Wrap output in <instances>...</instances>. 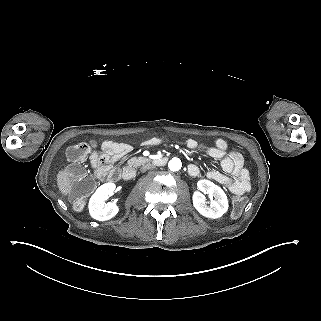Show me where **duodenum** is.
<instances>
[{"instance_id":"duodenum-1","label":"duodenum","mask_w":321,"mask_h":321,"mask_svg":"<svg viewBox=\"0 0 321 321\" xmlns=\"http://www.w3.org/2000/svg\"><path fill=\"white\" fill-rule=\"evenodd\" d=\"M166 162H167L166 157L157 158L153 161V163L156 166H163L166 164ZM135 175H136L135 170L132 167H127V168L123 169V171L120 173L119 177H120V179H122L124 181H130L135 177Z\"/></svg>"}]
</instances>
